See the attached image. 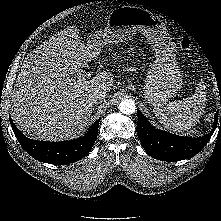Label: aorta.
Segmentation results:
<instances>
[{
	"mask_svg": "<svg viewBox=\"0 0 221 221\" xmlns=\"http://www.w3.org/2000/svg\"><path fill=\"white\" fill-rule=\"evenodd\" d=\"M119 110L123 114L131 115L136 110L135 102L132 99H124L119 104Z\"/></svg>",
	"mask_w": 221,
	"mask_h": 221,
	"instance_id": "obj_1",
	"label": "aorta"
}]
</instances>
